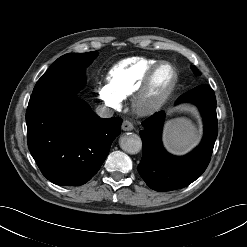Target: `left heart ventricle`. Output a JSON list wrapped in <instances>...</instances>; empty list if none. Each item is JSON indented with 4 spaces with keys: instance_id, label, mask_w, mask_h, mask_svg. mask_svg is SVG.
I'll use <instances>...</instances> for the list:
<instances>
[{
    "instance_id": "b2bd125f",
    "label": "left heart ventricle",
    "mask_w": 247,
    "mask_h": 247,
    "mask_svg": "<svg viewBox=\"0 0 247 247\" xmlns=\"http://www.w3.org/2000/svg\"><path fill=\"white\" fill-rule=\"evenodd\" d=\"M173 80V72L170 67L163 66L154 75L150 88L149 100H154L159 97L169 87Z\"/></svg>"
}]
</instances>
